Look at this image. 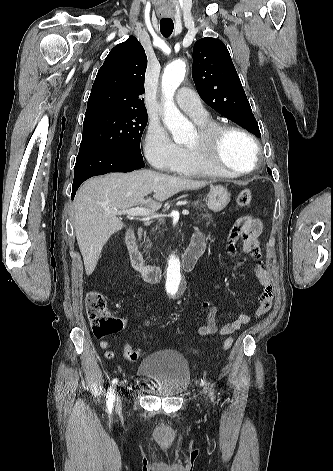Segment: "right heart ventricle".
Wrapping results in <instances>:
<instances>
[{
    "label": "right heart ventricle",
    "instance_id": "e07e8e85",
    "mask_svg": "<svg viewBox=\"0 0 333 471\" xmlns=\"http://www.w3.org/2000/svg\"><path fill=\"white\" fill-rule=\"evenodd\" d=\"M197 123L202 126L214 123L208 117L197 121ZM172 172L188 177H216V176H226L233 177L230 175H221L213 168L209 167L201 160H199L188 147L182 148V156L179 163L175 166Z\"/></svg>",
    "mask_w": 333,
    "mask_h": 471
}]
</instances>
